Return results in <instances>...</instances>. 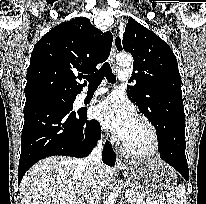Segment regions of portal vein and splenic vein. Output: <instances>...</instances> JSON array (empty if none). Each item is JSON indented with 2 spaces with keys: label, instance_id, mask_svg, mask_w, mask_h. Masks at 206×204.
I'll use <instances>...</instances> for the list:
<instances>
[{
  "label": "portal vein and splenic vein",
  "instance_id": "18ae733b",
  "mask_svg": "<svg viewBox=\"0 0 206 204\" xmlns=\"http://www.w3.org/2000/svg\"><path fill=\"white\" fill-rule=\"evenodd\" d=\"M125 194H126V196H132L133 192L131 190L127 189ZM149 204H159V201L156 199L153 201L149 200Z\"/></svg>",
  "mask_w": 206,
  "mask_h": 204
}]
</instances>
